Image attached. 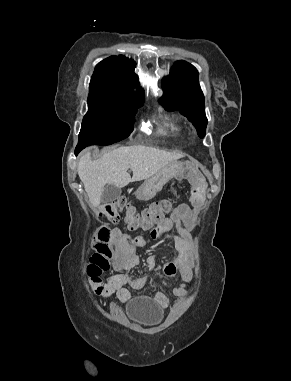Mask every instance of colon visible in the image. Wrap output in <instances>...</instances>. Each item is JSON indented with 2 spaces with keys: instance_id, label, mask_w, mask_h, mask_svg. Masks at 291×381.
<instances>
[{
  "instance_id": "obj_1",
  "label": "colon",
  "mask_w": 291,
  "mask_h": 381,
  "mask_svg": "<svg viewBox=\"0 0 291 381\" xmlns=\"http://www.w3.org/2000/svg\"><path fill=\"white\" fill-rule=\"evenodd\" d=\"M204 198V187L197 184L191 193L194 204L202 203ZM171 210V203L167 200L156 202L137 212L135 208L125 199L105 203L100 208L101 216L108 223H115L124 218L129 231L151 230L167 219V214ZM118 235L108 224L101 226L97 232L94 253L90 258L88 274L92 277L99 276L102 272L110 268V261L113 257V242H117Z\"/></svg>"
}]
</instances>
